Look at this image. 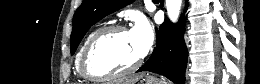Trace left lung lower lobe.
Segmentation results:
<instances>
[{
  "mask_svg": "<svg viewBox=\"0 0 260 84\" xmlns=\"http://www.w3.org/2000/svg\"><path fill=\"white\" fill-rule=\"evenodd\" d=\"M156 33V47L138 72H154L177 84H184L188 53L183 38V22L174 25L166 19Z\"/></svg>",
  "mask_w": 260,
  "mask_h": 84,
  "instance_id": "left-lung-lower-lobe-1",
  "label": "left lung lower lobe"
}]
</instances>
